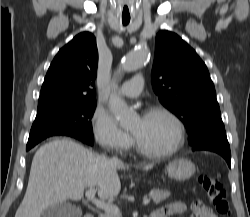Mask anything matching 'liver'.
I'll list each match as a JSON object with an SVG mask.
<instances>
[{
    "mask_svg": "<svg viewBox=\"0 0 250 217\" xmlns=\"http://www.w3.org/2000/svg\"><path fill=\"white\" fill-rule=\"evenodd\" d=\"M152 166H145L144 170ZM128 169L82 145L57 139L35 153L25 196L15 217H40L45 209L67 199L79 201L87 187H97L101 199L117 196L121 183L117 170Z\"/></svg>",
    "mask_w": 250,
    "mask_h": 217,
    "instance_id": "6515ba94",
    "label": "liver"
}]
</instances>
